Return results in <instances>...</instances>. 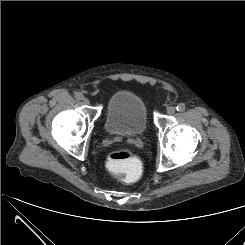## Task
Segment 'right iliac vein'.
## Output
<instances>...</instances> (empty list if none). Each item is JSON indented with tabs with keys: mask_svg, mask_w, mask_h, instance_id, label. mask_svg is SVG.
Listing matches in <instances>:
<instances>
[{
	"mask_svg": "<svg viewBox=\"0 0 245 245\" xmlns=\"http://www.w3.org/2000/svg\"><path fill=\"white\" fill-rule=\"evenodd\" d=\"M83 103L86 104V105H89L90 104V101L88 98H84L83 99Z\"/></svg>",
	"mask_w": 245,
	"mask_h": 245,
	"instance_id": "right-iliac-vein-1",
	"label": "right iliac vein"
}]
</instances>
